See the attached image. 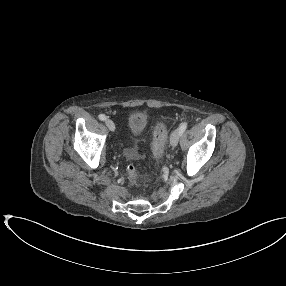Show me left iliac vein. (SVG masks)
Returning <instances> with one entry per match:
<instances>
[{
	"label": "left iliac vein",
	"instance_id": "left-iliac-vein-1",
	"mask_svg": "<svg viewBox=\"0 0 286 286\" xmlns=\"http://www.w3.org/2000/svg\"><path fill=\"white\" fill-rule=\"evenodd\" d=\"M180 131L179 129H176L172 132L170 136V144L172 147H176L178 145L179 139H180Z\"/></svg>",
	"mask_w": 286,
	"mask_h": 286
}]
</instances>
